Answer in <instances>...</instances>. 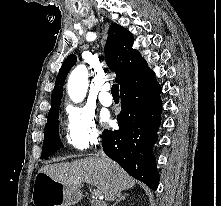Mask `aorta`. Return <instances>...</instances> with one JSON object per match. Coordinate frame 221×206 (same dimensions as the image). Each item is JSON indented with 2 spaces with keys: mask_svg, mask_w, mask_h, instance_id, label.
I'll list each match as a JSON object with an SVG mask.
<instances>
[{
  "mask_svg": "<svg viewBox=\"0 0 221 206\" xmlns=\"http://www.w3.org/2000/svg\"><path fill=\"white\" fill-rule=\"evenodd\" d=\"M87 88L88 71L84 65H80L69 76L67 83L68 95L73 102H81L86 96Z\"/></svg>",
  "mask_w": 221,
  "mask_h": 206,
  "instance_id": "1",
  "label": "aorta"
}]
</instances>
